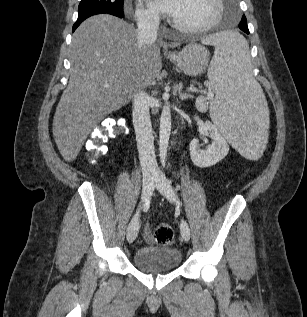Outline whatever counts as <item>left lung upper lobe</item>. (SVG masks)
Listing matches in <instances>:
<instances>
[{
  "label": "left lung upper lobe",
  "instance_id": "1",
  "mask_svg": "<svg viewBox=\"0 0 307 317\" xmlns=\"http://www.w3.org/2000/svg\"><path fill=\"white\" fill-rule=\"evenodd\" d=\"M242 20H246V17H245V16H242V19H241V21H242Z\"/></svg>",
  "mask_w": 307,
  "mask_h": 317
}]
</instances>
